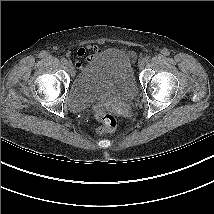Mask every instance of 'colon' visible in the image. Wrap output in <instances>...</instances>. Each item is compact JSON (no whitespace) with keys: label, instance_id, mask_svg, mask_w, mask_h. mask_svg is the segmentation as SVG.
<instances>
[{"label":"colon","instance_id":"colon-1","mask_svg":"<svg viewBox=\"0 0 214 214\" xmlns=\"http://www.w3.org/2000/svg\"><path fill=\"white\" fill-rule=\"evenodd\" d=\"M101 126L98 128L99 134L110 133L117 128V120L110 113L99 112L98 113Z\"/></svg>","mask_w":214,"mask_h":214}]
</instances>
